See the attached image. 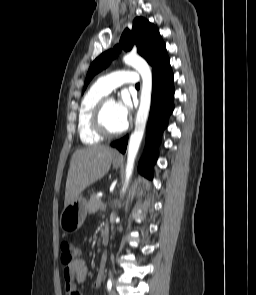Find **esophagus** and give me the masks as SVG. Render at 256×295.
<instances>
[{"instance_id": "obj_1", "label": "esophagus", "mask_w": 256, "mask_h": 295, "mask_svg": "<svg viewBox=\"0 0 256 295\" xmlns=\"http://www.w3.org/2000/svg\"><path fill=\"white\" fill-rule=\"evenodd\" d=\"M118 158H122V155H118Z\"/></svg>"}]
</instances>
